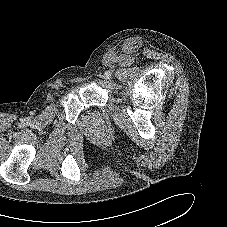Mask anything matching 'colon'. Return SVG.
<instances>
[{
	"label": "colon",
	"instance_id": "obj_1",
	"mask_svg": "<svg viewBox=\"0 0 227 227\" xmlns=\"http://www.w3.org/2000/svg\"><path fill=\"white\" fill-rule=\"evenodd\" d=\"M100 138H101L102 140H104V139H106V135H105L104 133H102L101 136H100Z\"/></svg>",
	"mask_w": 227,
	"mask_h": 227
}]
</instances>
